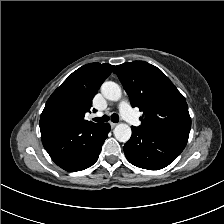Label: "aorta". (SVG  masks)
I'll return each instance as SVG.
<instances>
[{"label":"aorta","mask_w":224,"mask_h":224,"mask_svg":"<svg viewBox=\"0 0 224 224\" xmlns=\"http://www.w3.org/2000/svg\"><path fill=\"white\" fill-rule=\"evenodd\" d=\"M103 96L110 101H118L121 98L120 86L112 81H106L101 86ZM132 131L125 123L118 124L114 129V136L119 142H127L131 137Z\"/></svg>","instance_id":"1"}]
</instances>
